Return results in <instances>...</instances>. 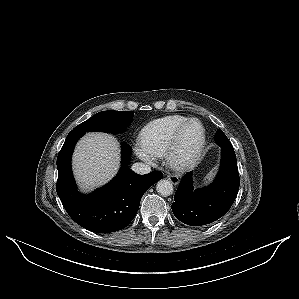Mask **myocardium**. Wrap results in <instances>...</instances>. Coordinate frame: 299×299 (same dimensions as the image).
Listing matches in <instances>:
<instances>
[{
    "label": "myocardium",
    "mask_w": 299,
    "mask_h": 299,
    "mask_svg": "<svg viewBox=\"0 0 299 299\" xmlns=\"http://www.w3.org/2000/svg\"><path fill=\"white\" fill-rule=\"evenodd\" d=\"M192 123L199 124L201 128V136L196 147L190 152H183L180 149V141L185 130ZM206 132L204 125L197 118H190L184 122L176 131L169 148L165 154L166 163L175 171H184L194 165L202 154L205 146Z\"/></svg>",
    "instance_id": "myocardium-1"
}]
</instances>
